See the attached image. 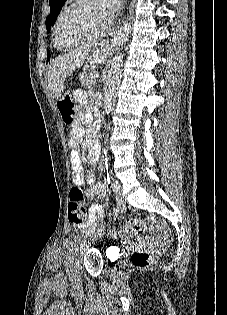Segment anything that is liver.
<instances>
[{
    "mask_svg": "<svg viewBox=\"0 0 227 315\" xmlns=\"http://www.w3.org/2000/svg\"><path fill=\"white\" fill-rule=\"evenodd\" d=\"M87 52L74 50L65 55L59 56L50 62L46 78L53 97L59 99L65 89L64 82L66 78L80 68L84 63ZM93 61L103 60L99 52L93 54Z\"/></svg>",
    "mask_w": 227,
    "mask_h": 315,
    "instance_id": "liver-1",
    "label": "liver"
}]
</instances>
